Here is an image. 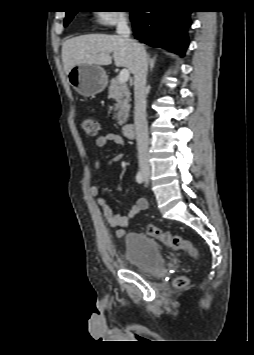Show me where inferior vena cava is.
I'll use <instances>...</instances> for the list:
<instances>
[{
  "mask_svg": "<svg viewBox=\"0 0 254 355\" xmlns=\"http://www.w3.org/2000/svg\"><path fill=\"white\" fill-rule=\"evenodd\" d=\"M117 34L128 42L134 51L135 68H134V124L136 130V140L138 149L139 165L142 169H149L148 155V125L146 120V77L148 60L144 47L130 39V28L127 23V18L122 17L117 25Z\"/></svg>",
  "mask_w": 254,
  "mask_h": 355,
  "instance_id": "obj_1",
  "label": "inferior vena cava"
}]
</instances>
